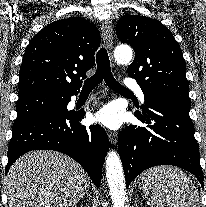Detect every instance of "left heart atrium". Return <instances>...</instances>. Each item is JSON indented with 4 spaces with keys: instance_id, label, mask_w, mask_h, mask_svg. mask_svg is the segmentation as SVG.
I'll use <instances>...</instances> for the list:
<instances>
[{
    "instance_id": "1",
    "label": "left heart atrium",
    "mask_w": 206,
    "mask_h": 207,
    "mask_svg": "<svg viewBox=\"0 0 206 207\" xmlns=\"http://www.w3.org/2000/svg\"><path fill=\"white\" fill-rule=\"evenodd\" d=\"M94 120L108 129L117 130L123 124V111L116 104H107L96 112Z\"/></svg>"
}]
</instances>
